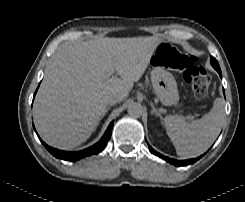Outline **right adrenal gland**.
I'll return each instance as SVG.
<instances>
[{
  "label": "right adrenal gland",
  "instance_id": "obj_1",
  "mask_svg": "<svg viewBox=\"0 0 245 202\" xmlns=\"http://www.w3.org/2000/svg\"><path fill=\"white\" fill-rule=\"evenodd\" d=\"M109 109H110V108H107V109L105 110L104 115L109 111ZM104 115H103V117H104Z\"/></svg>",
  "mask_w": 245,
  "mask_h": 202
}]
</instances>
